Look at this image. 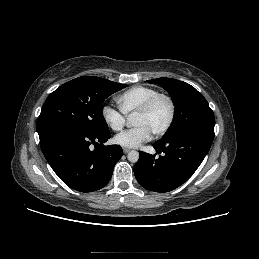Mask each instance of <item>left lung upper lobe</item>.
<instances>
[{"instance_id":"left-lung-upper-lobe-1","label":"left lung upper lobe","mask_w":259,"mask_h":259,"mask_svg":"<svg viewBox=\"0 0 259 259\" xmlns=\"http://www.w3.org/2000/svg\"><path fill=\"white\" fill-rule=\"evenodd\" d=\"M159 84L172 97L176 108L173 122L162 138L187 131H198L214 136L215 118L207 100L193 86L172 78L148 80ZM161 138V139H162Z\"/></svg>"}]
</instances>
